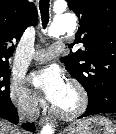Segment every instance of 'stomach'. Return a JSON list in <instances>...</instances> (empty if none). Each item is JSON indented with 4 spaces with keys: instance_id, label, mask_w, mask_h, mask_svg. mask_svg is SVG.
I'll return each mask as SVG.
<instances>
[{
    "instance_id": "1",
    "label": "stomach",
    "mask_w": 116,
    "mask_h": 134,
    "mask_svg": "<svg viewBox=\"0 0 116 134\" xmlns=\"http://www.w3.org/2000/svg\"><path fill=\"white\" fill-rule=\"evenodd\" d=\"M64 134H115V128L109 119L95 116L70 126Z\"/></svg>"
}]
</instances>
